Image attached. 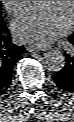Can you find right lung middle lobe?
Returning a JSON list of instances; mask_svg holds the SVG:
<instances>
[{
    "mask_svg": "<svg viewBox=\"0 0 74 122\" xmlns=\"http://www.w3.org/2000/svg\"><path fill=\"white\" fill-rule=\"evenodd\" d=\"M6 30L5 24L3 23L2 19L0 18V34Z\"/></svg>",
    "mask_w": 74,
    "mask_h": 122,
    "instance_id": "dd1d6c3e",
    "label": "right lung middle lobe"
}]
</instances>
